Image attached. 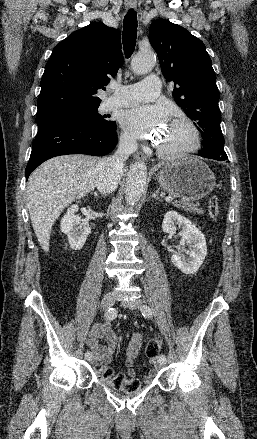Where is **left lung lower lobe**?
<instances>
[{
  "mask_svg": "<svg viewBox=\"0 0 257 439\" xmlns=\"http://www.w3.org/2000/svg\"><path fill=\"white\" fill-rule=\"evenodd\" d=\"M226 159H228V157L227 156H222V157H220V158H216V160H226Z\"/></svg>",
  "mask_w": 257,
  "mask_h": 439,
  "instance_id": "0a47b994",
  "label": "left lung lower lobe"
}]
</instances>
